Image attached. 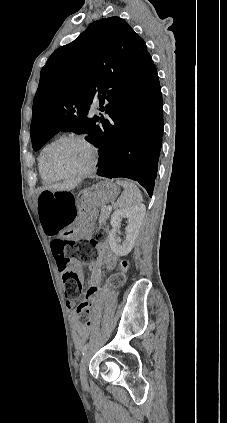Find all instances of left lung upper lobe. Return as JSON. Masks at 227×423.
Listing matches in <instances>:
<instances>
[{"label": "left lung upper lobe", "mask_w": 227, "mask_h": 423, "mask_svg": "<svg viewBox=\"0 0 227 423\" xmlns=\"http://www.w3.org/2000/svg\"><path fill=\"white\" fill-rule=\"evenodd\" d=\"M155 70L145 42L125 20L91 23L56 49L41 70L30 127L33 149L59 131L86 133L92 141L99 117L85 118L90 105L106 113L133 109Z\"/></svg>", "instance_id": "obj_1"}]
</instances>
